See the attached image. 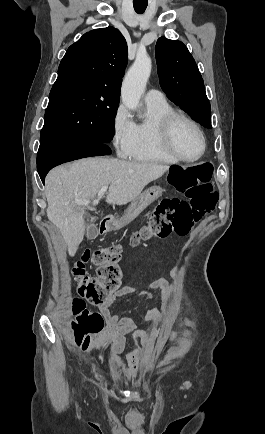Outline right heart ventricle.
Instances as JSON below:
<instances>
[{"mask_svg": "<svg viewBox=\"0 0 265 434\" xmlns=\"http://www.w3.org/2000/svg\"><path fill=\"white\" fill-rule=\"evenodd\" d=\"M174 112L172 106L162 99L161 103L145 102L142 120L136 124L133 153L128 160L153 165H176L179 162L168 152L163 141V123Z\"/></svg>", "mask_w": 265, "mask_h": 434, "instance_id": "1", "label": "right heart ventricle"}]
</instances>
